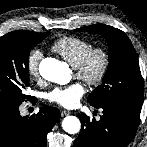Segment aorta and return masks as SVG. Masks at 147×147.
<instances>
[{"label": "aorta", "instance_id": "aorta-1", "mask_svg": "<svg viewBox=\"0 0 147 147\" xmlns=\"http://www.w3.org/2000/svg\"><path fill=\"white\" fill-rule=\"evenodd\" d=\"M39 72L41 76L50 82L65 85L71 80V74L67 63L55 58H45L40 62ZM62 127L68 134H76L80 131V120L75 116H67L62 121Z\"/></svg>", "mask_w": 147, "mask_h": 147}]
</instances>
